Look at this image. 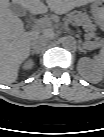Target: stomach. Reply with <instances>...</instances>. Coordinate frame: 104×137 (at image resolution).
I'll return each mask as SVG.
<instances>
[{"instance_id": "0dacf381", "label": "stomach", "mask_w": 104, "mask_h": 137, "mask_svg": "<svg viewBox=\"0 0 104 137\" xmlns=\"http://www.w3.org/2000/svg\"><path fill=\"white\" fill-rule=\"evenodd\" d=\"M102 1L101 0H96L92 4V13L95 18H100L102 17V12H103V7L101 6ZM88 47V42L86 43Z\"/></svg>"}]
</instances>
